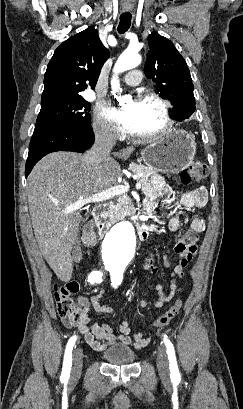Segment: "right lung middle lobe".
<instances>
[{
  "mask_svg": "<svg viewBox=\"0 0 243 409\" xmlns=\"http://www.w3.org/2000/svg\"><path fill=\"white\" fill-rule=\"evenodd\" d=\"M90 103L82 96L41 101L36 125L48 124L83 130L91 127Z\"/></svg>",
  "mask_w": 243,
  "mask_h": 409,
  "instance_id": "dd1d6c3e",
  "label": "right lung middle lobe"
}]
</instances>
